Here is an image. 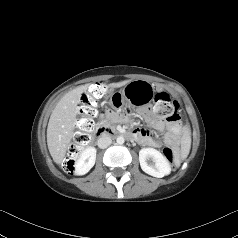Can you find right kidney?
<instances>
[{"label":"right kidney","instance_id":"obj_1","mask_svg":"<svg viewBox=\"0 0 238 238\" xmlns=\"http://www.w3.org/2000/svg\"><path fill=\"white\" fill-rule=\"evenodd\" d=\"M96 161V149L94 147L86 148L75 164V173L84 175L90 171Z\"/></svg>","mask_w":238,"mask_h":238}]
</instances>
